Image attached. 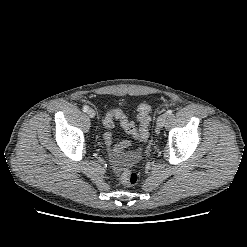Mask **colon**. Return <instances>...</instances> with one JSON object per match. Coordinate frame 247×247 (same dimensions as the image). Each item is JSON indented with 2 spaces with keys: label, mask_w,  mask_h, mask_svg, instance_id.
I'll list each match as a JSON object with an SVG mask.
<instances>
[{
  "label": "colon",
  "mask_w": 247,
  "mask_h": 247,
  "mask_svg": "<svg viewBox=\"0 0 247 247\" xmlns=\"http://www.w3.org/2000/svg\"><path fill=\"white\" fill-rule=\"evenodd\" d=\"M151 107L149 104L143 102L137 106V119L139 121V128L137 129L133 122H131L126 115L120 109H114L110 111L103 120V126L105 129L104 139L106 144L111 147V150L114 155L119 154L124 146L128 143L123 142L119 145L112 146L111 140V129L114 126V120H118L125 131L136 137L139 140H146L149 137V125L151 121L150 117ZM134 157L130 156L128 158V166H126L120 175L121 183L126 187H134L139 183V174L138 172L131 169L130 164L133 162Z\"/></svg>",
  "instance_id": "colon-1"
}]
</instances>
